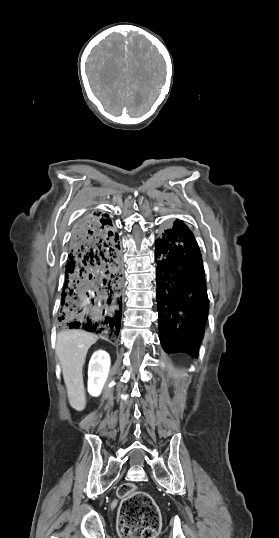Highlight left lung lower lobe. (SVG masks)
Instances as JSON below:
<instances>
[{
  "mask_svg": "<svg viewBox=\"0 0 279 538\" xmlns=\"http://www.w3.org/2000/svg\"><path fill=\"white\" fill-rule=\"evenodd\" d=\"M156 297L160 340L165 352L198 356L209 301L201 253L179 220L155 241Z\"/></svg>",
  "mask_w": 279,
  "mask_h": 538,
  "instance_id": "0a47b994",
  "label": "left lung lower lobe"
}]
</instances>
